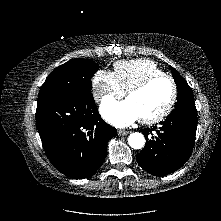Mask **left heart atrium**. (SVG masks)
I'll return each instance as SVG.
<instances>
[{
	"mask_svg": "<svg viewBox=\"0 0 221 221\" xmlns=\"http://www.w3.org/2000/svg\"><path fill=\"white\" fill-rule=\"evenodd\" d=\"M102 116L117 127H126L140 118L134 105L127 99L124 101L108 100L101 106Z\"/></svg>",
	"mask_w": 221,
	"mask_h": 221,
	"instance_id": "39dd6f15",
	"label": "left heart atrium"
}]
</instances>
